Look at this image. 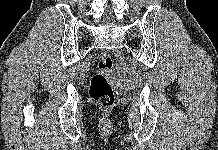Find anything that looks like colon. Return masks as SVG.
<instances>
[{
	"label": "colon",
	"mask_w": 218,
	"mask_h": 150,
	"mask_svg": "<svg viewBox=\"0 0 218 150\" xmlns=\"http://www.w3.org/2000/svg\"><path fill=\"white\" fill-rule=\"evenodd\" d=\"M113 68V59L109 54H102L98 60V73L90 81L91 99L102 107H110L114 103V91L107 79V73Z\"/></svg>",
	"instance_id": "1"
}]
</instances>
